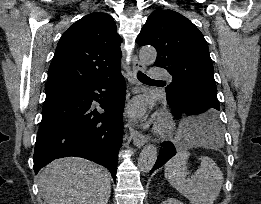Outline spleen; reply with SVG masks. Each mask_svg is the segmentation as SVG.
Wrapping results in <instances>:
<instances>
[{
    "label": "spleen",
    "instance_id": "obj_1",
    "mask_svg": "<svg viewBox=\"0 0 261 204\" xmlns=\"http://www.w3.org/2000/svg\"><path fill=\"white\" fill-rule=\"evenodd\" d=\"M202 116L184 122L180 130L186 134L188 147H210L215 138L199 133ZM190 153L187 148L179 150L177 154L165 164L164 175L167 181L191 204H213L217 199L223 184V173L216 163L209 157H200V168L191 177L187 169Z\"/></svg>",
    "mask_w": 261,
    "mask_h": 204
}]
</instances>
